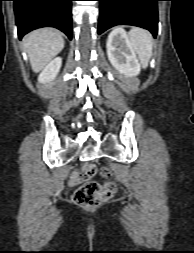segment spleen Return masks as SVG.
Listing matches in <instances>:
<instances>
[{"mask_svg": "<svg viewBox=\"0 0 194 253\" xmlns=\"http://www.w3.org/2000/svg\"><path fill=\"white\" fill-rule=\"evenodd\" d=\"M128 37L141 65L147 68L152 56V35L145 29L134 27L129 31Z\"/></svg>", "mask_w": 194, "mask_h": 253, "instance_id": "3e777b00", "label": "spleen"}]
</instances>
